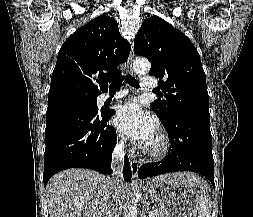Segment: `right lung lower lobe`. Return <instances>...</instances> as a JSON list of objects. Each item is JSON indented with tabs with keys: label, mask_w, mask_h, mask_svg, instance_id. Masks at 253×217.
<instances>
[{
	"label": "right lung lower lobe",
	"mask_w": 253,
	"mask_h": 217,
	"mask_svg": "<svg viewBox=\"0 0 253 217\" xmlns=\"http://www.w3.org/2000/svg\"><path fill=\"white\" fill-rule=\"evenodd\" d=\"M114 111L100 113L86 109H68L46 116L43 182L68 168H89L111 174L116 131L108 125ZM123 177L130 181L132 172L125 155Z\"/></svg>",
	"instance_id": "1"
}]
</instances>
